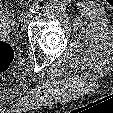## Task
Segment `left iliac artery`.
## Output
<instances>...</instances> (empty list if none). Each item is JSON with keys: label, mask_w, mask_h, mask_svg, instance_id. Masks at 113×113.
<instances>
[{"label": "left iliac artery", "mask_w": 113, "mask_h": 113, "mask_svg": "<svg viewBox=\"0 0 113 113\" xmlns=\"http://www.w3.org/2000/svg\"><path fill=\"white\" fill-rule=\"evenodd\" d=\"M39 8H40V5H39L38 3H34V4L31 6L30 11H31L32 13H36V12L39 11Z\"/></svg>", "instance_id": "left-iliac-artery-1"}]
</instances>
